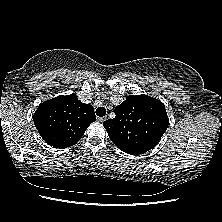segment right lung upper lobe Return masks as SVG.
Instances as JSON below:
<instances>
[{
    "mask_svg": "<svg viewBox=\"0 0 222 222\" xmlns=\"http://www.w3.org/2000/svg\"><path fill=\"white\" fill-rule=\"evenodd\" d=\"M95 120L93 107L82 103L75 94L43 102L33 116L42 139L60 149L76 144Z\"/></svg>",
    "mask_w": 222,
    "mask_h": 222,
    "instance_id": "right-lung-upper-lobe-1",
    "label": "right lung upper lobe"
}]
</instances>
